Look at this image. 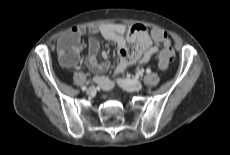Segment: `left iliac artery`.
Returning <instances> with one entry per match:
<instances>
[{
  "label": "left iliac artery",
  "instance_id": "obj_1",
  "mask_svg": "<svg viewBox=\"0 0 230 155\" xmlns=\"http://www.w3.org/2000/svg\"><path fill=\"white\" fill-rule=\"evenodd\" d=\"M150 72H151V70H150V69H147V70H146V73H147V74H149Z\"/></svg>",
  "mask_w": 230,
  "mask_h": 155
}]
</instances>
